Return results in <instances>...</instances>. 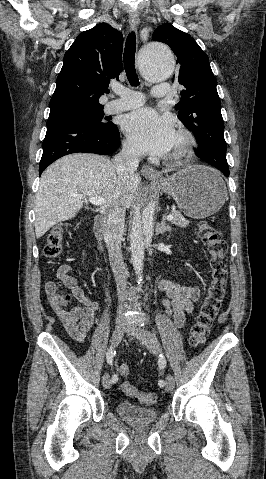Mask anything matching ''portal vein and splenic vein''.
I'll return each mask as SVG.
<instances>
[{
    "label": "portal vein and splenic vein",
    "mask_w": 266,
    "mask_h": 479,
    "mask_svg": "<svg viewBox=\"0 0 266 479\" xmlns=\"http://www.w3.org/2000/svg\"><path fill=\"white\" fill-rule=\"evenodd\" d=\"M74 197H77V198H82L83 196L82 195H77V194H73ZM89 202L93 205H96V206H102L106 203V200L103 198V197H89ZM173 215H168L167 216V220L168 221H172L173 220Z\"/></svg>",
    "instance_id": "obj_1"
}]
</instances>
